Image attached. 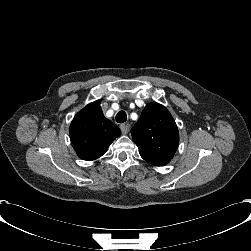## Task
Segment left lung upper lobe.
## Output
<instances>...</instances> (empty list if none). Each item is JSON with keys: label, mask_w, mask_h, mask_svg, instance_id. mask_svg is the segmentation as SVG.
<instances>
[{"label": "left lung upper lobe", "mask_w": 251, "mask_h": 251, "mask_svg": "<svg viewBox=\"0 0 251 251\" xmlns=\"http://www.w3.org/2000/svg\"><path fill=\"white\" fill-rule=\"evenodd\" d=\"M132 139L141 157L155 166L166 165L179 145L177 125L163 105L151 102L131 129Z\"/></svg>", "instance_id": "5c2ea615"}]
</instances>
